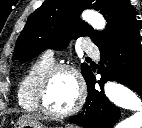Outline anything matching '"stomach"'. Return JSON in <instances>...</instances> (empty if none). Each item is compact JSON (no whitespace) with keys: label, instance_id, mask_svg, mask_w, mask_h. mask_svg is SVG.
I'll return each instance as SVG.
<instances>
[{"label":"stomach","instance_id":"1","mask_svg":"<svg viewBox=\"0 0 142 128\" xmlns=\"http://www.w3.org/2000/svg\"><path fill=\"white\" fill-rule=\"evenodd\" d=\"M47 128L38 119L27 118L19 121L16 128Z\"/></svg>","mask_w":142,"mask_h":128}]
</instances>
